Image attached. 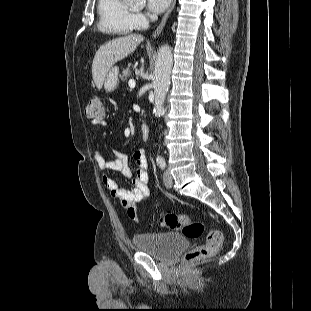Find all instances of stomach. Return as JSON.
<instances>
[{"instance_id":"1","label":"stomach","mask_w":311,"mask_h":311,"mask_svg":"<svg viewBox=\"0 0 311 311\" xmlns=\"http://www.w3.org/2000/svg\"><path fill=\"white\" fill-rule=\"evenodd\" d=\"M118 67H112L106 77H105V80H104V89L107 91V92H112L114 91L117 86H118V83H119V80H118Z\"/></svg>"}]
</instances>
